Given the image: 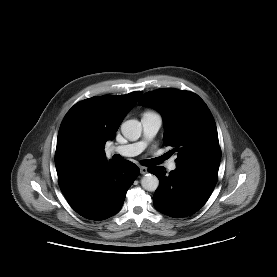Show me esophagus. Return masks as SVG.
I'll return each instance as SVG.
<instances>
[{"instance_id": "1", "label": "esophagus", "mask_w": 277, "mask_h": 277, "mask_svg": "<svg viewBox=\"0 0 277 277\" xmlns=\"http://www.w3.org/2000/svg\"><path fill=\"white\" fill-rule=\"evenodd\" d=\"M140 172L141 174L145 175L148 173V168L147 167H144V166H141L140 167Z\"/></svg>"}]
</instances>
